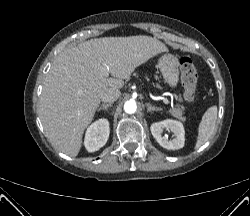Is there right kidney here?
<instances>
[{
	"instance_id": "1",
	"label": "right kidney",
	"mask_w": 250,
	"mask_h": 216,
	"mask_svg": "<svg viewBox=\"0 0 250 216\" xmlns=\"http://www.w3.org/2000/svg\"><path fill=\"white\" fill-rule=\"evenodd\" d=\"M110 134L107 119H99L92 123L86 131L84 145L88 152H95L103 147Z\"/></svg>"
}]
</instances>
